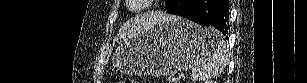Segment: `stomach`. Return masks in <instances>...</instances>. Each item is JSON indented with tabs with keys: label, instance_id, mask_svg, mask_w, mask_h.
<instances>
[{
	"label": "stomach",
	"instance_id": "1",
	"mask_svg": "<svg viewBox=\"0 0 307 83\" xmlns=\"http://www.w3.org/2000/svg\"><path fill=\"white\" fill-rule=\"evenodd\" d=\"M208 28L172 16L121 44L112 64L131 75L167 76L182 72L213 49Z\"/></svg>",
	"mask_w": 307,
	"mask_h": 83
}]
</instances>
